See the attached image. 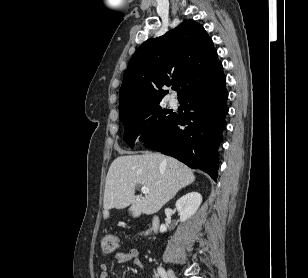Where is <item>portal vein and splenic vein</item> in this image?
Segmentation results:
<instances>
[{"label": "portal vein and splenic vein", "mask_w": 308, "mask_h": 278, "mask_svg": "<svg viewBox=\"0 0 308 278\" xmlns=\"http://www.w3.org/2000/svg\"><path fill=\"white\" fill-rule=\"evenodd\" d=\"M141 192L145 195H147L149 193V188L146 186H142L141 187Z\"/></svg>", "instance_id": "portal-vein-and-splenic-vein-1"}]
</instances>
